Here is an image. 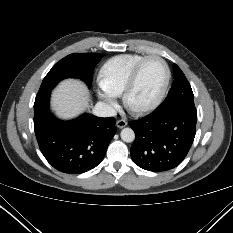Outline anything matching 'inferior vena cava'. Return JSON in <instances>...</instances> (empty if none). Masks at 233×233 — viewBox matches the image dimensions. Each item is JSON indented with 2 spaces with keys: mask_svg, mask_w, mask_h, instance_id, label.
Segmentation results:
<instances>
[{
  "mask_svg": "<svg viewBox=\"0 0 233 233\" xmlns=\"http://www.w3.org/2000/svg\"><path fill=\"white\" fill-rule=\"evenodd\" d=\"M93 114L99 117H113L117 112L111 105L98 102L93 109Z\"/></svg>",
  "mask_w": 233,
  "mask_h": 233,
  "instance_id": "602c4592",
  "label": "inferior vena cava"
}]
</instances>
